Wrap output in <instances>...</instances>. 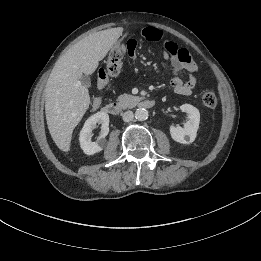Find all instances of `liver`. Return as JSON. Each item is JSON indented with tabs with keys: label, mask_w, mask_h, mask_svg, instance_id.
Instances as JSON below:
<instances>
[{
	"label": "liver",
	"mask_w": 261,
	"mask_h": 261,
	"mask_svg": "<svg viewBox=\"0 0 261 261\" xmlns=\"http://www.w3.org/2000/svg\"><path fill=\"white\" fill-rule=\"evenodd\" d=\"M123 28H110L85 37L56 62L45 87V113L49 132L57 147L69 151L72 133L90 104L88 88L80 82L95 72L122 35Z\"/></svg>",
	"instance_id": "liver-1"
}]
</instances>
